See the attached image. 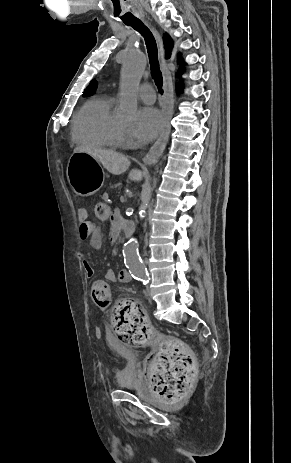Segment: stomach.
Instances as JSON below:
<instances>
[{
  "label": "stomach",
  "instance_id": "obj_1",
  "mask_svg": "<svg viewBox=\"0 0 291 463\" xmlns=\"http://www.w3.org/2000/svg\"><path fill=\"white\" fill-rule=\"evenodd\" d=\"M66 173L72 189L80 196L92 195L101 185L99 161L88 153L74 152L68 161Z\"/></svg>",
  "mask_w": 291,
  "mask_h": 463
}]
</instances>
